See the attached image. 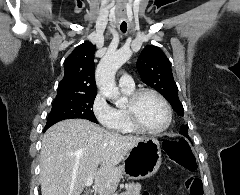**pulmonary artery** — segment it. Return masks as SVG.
<instances>
[{"label":"pulmonary artery","instance_id":"pulmonary-artery-1","mask_svg":"<svg viewBox=\"0 0 240 195\" xmlns=\"http://www.w3.org/2000/svg\"><path fill=\"white\" fill-rule=\"evenodd\" d=\"M119 84H120V86H124V87H128V88H132L134 86V82H133L132 78L130 77V75H123V77L120 78V80H119Z\"/></svg>","mask_w":240,"mask_h":195}]
</instances>
